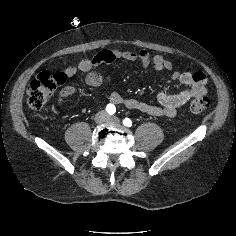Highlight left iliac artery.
Returning a JSON list of instances; mask_svg holds the SVG:
<instances>
[{"label": "left iliac artery", "instance_id": "left-iliac-artery-1", "mask_svg": "<svg viewBox=\"0 0 236 236\" xmlns=\"http://www.w3.org/2000/svg\"><path fill=\"white\" fill-rule=\"evenodd\" d=\"M123 124L127 127H131L132 126V121L129 118H124L123 119Z\"/></svg>", "mask_w": 236, "mask_h": 236}]
</instances>
